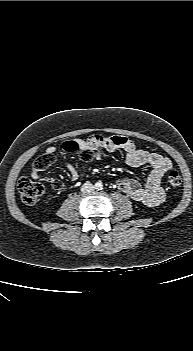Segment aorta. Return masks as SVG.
I'll return each mask as SVG.
<instances>
[{"label":"aorta","mask_w":193,"mask_h":351,"mask_svg":"<svg viewBox=\"0 0 193 351\" xmlns=\"http://www.w3.org/2000/svg\"><path fill=\"white\" fill-rule=\"evenodd\" d=\"M95 186H96L97 189H102V184L101 183H96Z\"/></svg>","instance_id":"762f6f07"}]
</instances>
